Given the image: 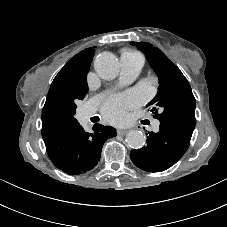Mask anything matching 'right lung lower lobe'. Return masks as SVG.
I'll return each instance as SVG.
<instances>
[{
    "label": "right lung lower lobe",
    "instance_id": "1",
    "mask_svg": "<svg viewBox=\"0 0 227 227\" xmlns=\"http://www.w3.org/2000/svg\"><path fill=\"white\" fill-rule=\"evenodd\" d=\"M115 136L113 127L97 123L93 126V133H88L78 123L44 142L50 160L58 169L67 174L79 175L95 167L100 160L104 142Z\"/></svg>",
    "mask_w": 227,
    "mask_h": 227
}]
</instances>
